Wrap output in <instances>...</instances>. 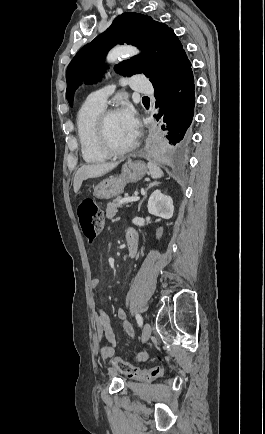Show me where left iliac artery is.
Listing matches in <instances>:
<instances>
[{"instance_id":"44dca946","label":"left iliac artery","mask_w":265,"mask_h":434,"mask_svg":"<svg viewBox=\"0 0 265 434\" xmlns=\"http://www.w3.org/2000/svg\"><path fill=\"white\" fill-rule=\"evenodd\" d=\"M136 321H137L139 326H142L143 319H142V316L140 314H136Z\"/></svg>"}]
</instances>
